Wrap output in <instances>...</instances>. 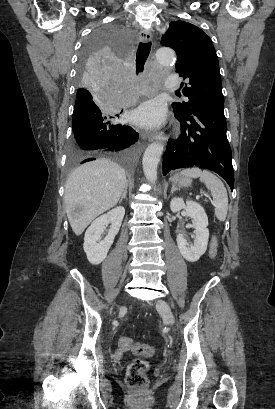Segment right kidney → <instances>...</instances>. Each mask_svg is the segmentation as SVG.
Instances as JSON below:
<instances>
[{
	"label": "right kidney",
	"mask_w": 275,
	"mask_h": 409,
	"mask_svg": "<svg viewBox=\"0 0 275 409\" xmlns=\"http://www.w3.org/2000/svg\"><path fill=\"white\" fill-rule=\"evenodd\" d=\"M124 215V207H116V209L109 211L107 215H101V217L95 219L89 229H87L83 249L91 265H100L106 259L107 253L117 233H119ZM109 223H111V227L108 235L101 241L102 233L106 229L105 225H109Z\"/></svg>",
	"instance_id": "right-kidney-1"
}]
</instances>
